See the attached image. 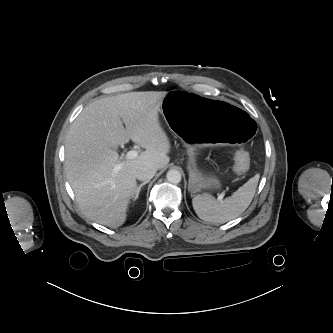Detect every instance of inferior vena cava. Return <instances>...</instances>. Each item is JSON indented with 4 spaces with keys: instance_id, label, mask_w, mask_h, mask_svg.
I'll list each match as a JSON object with an SVG mask.
<instances>
[{
    "instance_id": "obj_1",
    "label": "inferior vena cava",
    "mask_w": 333,
    "mask_h": 333,
    "mask_svg": "<svg viewBox=\"0 0 333 333\" xmlns=\"http://www.w3.org/2000/svg\"><path fill=\"white\" fill-rule=\"evenodd\" d=\"M157 168L149 165L140 166L136 172L135 177L140 181H149L156 174Z\"/></svg>"
}]
</instances>
